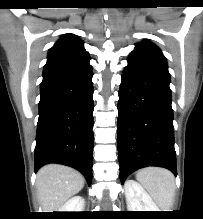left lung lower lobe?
<instances>
[{"label":"left lung lower lobe","mask_w":203,"mask_h":219,"mask_svg":"<svg viewBox=\"0 0 203 219\" xmlns=\"http://www.w3.org/2000/svg\"><path fill=\"white\" fill-rule=\"evenodd\" d=\"M169 83L166 66L128 58L118 101L121 183L131 172L147 166L164 167L177 174Z\"/></svg>","instance_id":"1"}]
</instances>
